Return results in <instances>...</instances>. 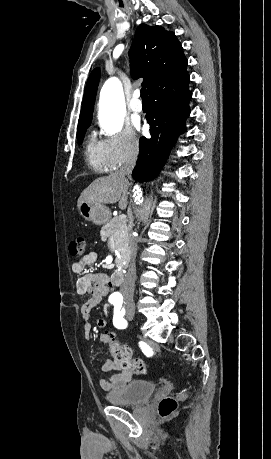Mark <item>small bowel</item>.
I'll return each instance as SVG.
<instances>
[{
	"label": "small bowel",
	"instance_id": "obj_1",
	"mask_svg": "<svg viewBox=\"0 0 271 459\" xmlns=\"http://www.w3.org/2000/svg\"><path fill=\"white\" fill-rule=\"evenodd\" d=\"M97 258L98 254L96 252H89L72 264L73 272L79 275L76 282L77 293L89 295V298L81 306V314L84 320L83 331L86 339H90L92 335L91 311L108 293L109 279L107 275L85 271L86 267L93 265L97 261ZM96 325L99 328H105L106 319L104 317L98 318ZM101 341L107 343V335L103 334ZM102 370L105 373L115 372L110 377L104 376L100 380V387L107 392L122 388L133 378V372L124 369L117 360L108 359L103 364Z\"/></svg>",
	"mask_w": 271,
	"mask_h": 459
}]
</instances>
